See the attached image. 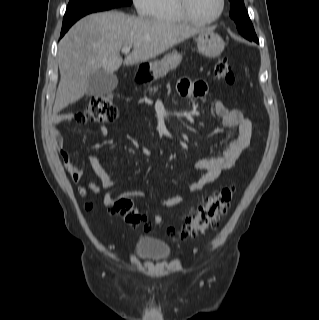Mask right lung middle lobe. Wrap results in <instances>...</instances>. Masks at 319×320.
Returning a JSON list of instances; mask_svg holds the SVG:
<instances>
[{
    "label": "right lung middle lobe",
    "instance_id": "dd1d6c3e",
    "mask_svg": "<svg viewBox=\"0 0 319 320\" xmlns=\"http://www.w3.org/2000/svg\"><path fill=\"white\" fill-rule=\"evenodd\" d=\"M132 0H70L62 28H70L81 17L98 11L131 5Z\"/></svg>",
    "mask_w": 319,
    "mask_h": 320
}]
</instances>
